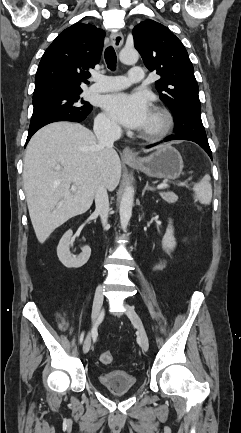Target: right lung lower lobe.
<instances>
[{
  "label": "right lung lower lobe",
  "mask_w": 241,
  "mask_h": 433,
  "mask_svg": "<svg viewBox=\"0 0 241 433\" xmlns=\"http://www.w3.org/2000/svg\"><path fill=\"white\" fill-rule=\"evenodd\" d=\"M87 117V115H81V116H76V115H61V116H57L54 117L52 119L47 120L46 122L38 125L37 127H35L32 130H29L28 132V137H27V141L26 144L28 143V141L30 140L31 136L37 131L39 130L41 127L52 123V122H57V121H73V122H81L83 121L85 118Z\"/></svg>",
  "instance_id": "1"
}]
</instances>
